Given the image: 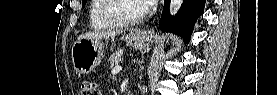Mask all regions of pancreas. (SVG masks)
<instances>
[{
	"mask_svg": "<svg viewBox=\"0 0 277 95\" xmlns=\"http://www.w3.org/2000/svg\"><path fill=\"white\" fill-rule=\"evenodd\" d=\"M122 52L121 51H116L114 52L108 59L110 63V68L113 69L114 66H117L122 62Z\"/></svg>",
	"mask_w": 277,
	"mask_h": 95,
	"instance_id": "pancreas-1",
	"label": "pancreas"
}]
</instances>
